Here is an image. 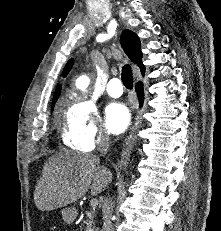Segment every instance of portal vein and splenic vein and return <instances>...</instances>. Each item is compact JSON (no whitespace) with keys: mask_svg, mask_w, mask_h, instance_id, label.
<instances>
[{"mask_svg":"<svg viewBox=\"0 0 221 231\" xmlns=\"http://www.w3.org/2000/svg\"><path fill=\"white\" fill-rule=\"evenodd\" d=\"M90 205H91L92 207L97 206V205H98V200H97V199H91Z\"/></svg>","mask_w":221,"mask_h":231,"instance_id":"18ae733b","label":"portal vein and splenic vein"}]
</instances>
